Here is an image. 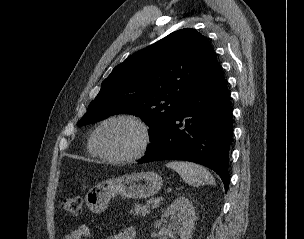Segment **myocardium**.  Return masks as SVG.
<instances>
[{
    "label": "myocardium",
    "instance_id": "obj_1",
    "mask_svg": "<svg viewBox=\"0 0 304 239\" xmlns=\"http://www.w3.org/2000/svg\"><path fill=\"white\" fill-rule=\"evenodd\" d=\"M115 121H127L135 124L141 132V142L136 150L126 155H111L105 153L98 144V133L107 124ZM150 126L141 117L134 114H116L102 120L92 132L90 142L95 153L102 159L113 163H128L141 158L149 148L151 143Z\"/></svg>",
    "mask_w": 304,
    "mask_h": 239
}]
</instances>
